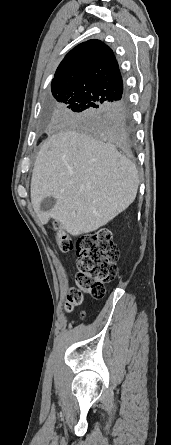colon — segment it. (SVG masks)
I'll return each mask as SVG.
<instances>
[{
  "label": "colon",
  "mask_w": 171,
  "mask_h": 445,
  "mask_svg": "<svg viewBox=\"0 0 171 445\" xmlns=\"http://www.w3.org/2000/svg\"><path fill=\"white\" fill-rule=\"evenodd\" d=\"M57 246L62 253H68L75 247L77 253L76 288L68 293L66 309L73 310L81 305L84 295H90L94 299L103 298L106 292L104 283L115 278L116 260L119 256L110 231L101 229L85 235L76 245L67 235L59 232Z\"/></svg>",
  "instance_id": "colon-1"
}]
</instances>
